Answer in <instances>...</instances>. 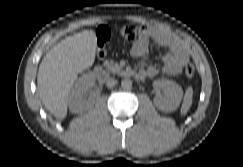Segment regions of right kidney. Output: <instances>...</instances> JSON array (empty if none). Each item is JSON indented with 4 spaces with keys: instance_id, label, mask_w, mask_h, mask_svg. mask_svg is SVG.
<instances>
[{
    "instance_id": "1",
    "label": "right kidney",
    "mask_w": 243,
    "mask_h": 167,
    "mask_svg": "<svg viewBox=\"0 0 243 167\" xmlns=\"http://www.w3.org/2000/svg\"><path fill=\"white\" fill-rule=\"evenodd\" d=\"M95 77L92 73L83 74L75 83L68 97L69 109L72 113H82L93 105L86 103L85 94L93 86Z\"/></svg>"
}]
</instances>
